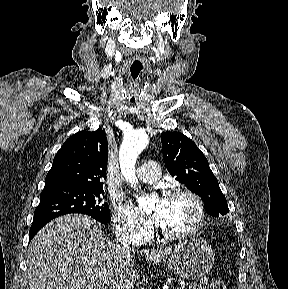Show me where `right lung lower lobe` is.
<instances>
[{
	"instance_id": "obj_1",
	"label": "right lung lower lobe",
	"mask_w": 288,
	"mask_h": 289,
	"mask_svg": "<svg viewBox=\"0 0 288 289\" xmlns=\"http://www.w3.org/2000/svg\"><path fill=\"white\" fill-rule=\"evenodd\" d=\"M53 218H44V219H35L33 220L32 226L30 228V235L29 240L33 238V236L49 221H51Z\"/></svg>"
}]
</instances>
